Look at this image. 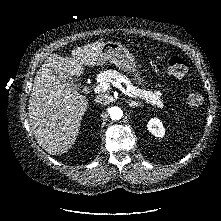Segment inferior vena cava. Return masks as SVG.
Instances as JSON below:
<instances>
[{
	"label": "inferior vena cava",
	"instance_id": "1",
	"mask_svg": "<svg viewBox=\"0 0 221 221\" xmlns=\"http://www.w3.org/2000/svg\"><path fill=\"white\" fill-rule=\"evenodd\" d=\"M95 102H96V103H101V104H106V103H107V99L104 98L103 95H98V96L95 98Z\"/></svg>",
	"mask_w": 221,
	"mask_h": 221
}]
</instances>
